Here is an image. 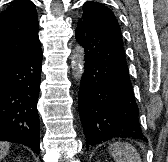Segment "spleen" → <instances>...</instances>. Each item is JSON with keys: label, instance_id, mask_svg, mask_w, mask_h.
<instances>
[{"label": "spleen", "instance_id": "spleen-1", "mask_svg": "<svg viewBox=\"0 0 168 162\" xmlns=\"http://www.w3.org/2000/svg\"><path fill=\"white\" fill-rule=\"evenodd\" d=\"M108 149L116 162H142L137 150L128 143L115 142Z\"/></svg>", "mask_w": 168, "mask_h": 162}]
</instances>
